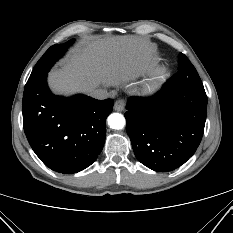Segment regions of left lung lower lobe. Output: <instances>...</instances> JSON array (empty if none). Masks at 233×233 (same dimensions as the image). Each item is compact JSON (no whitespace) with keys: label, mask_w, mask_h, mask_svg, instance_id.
<instances>
[{"label":"left lung lower lobe","mask_w":233,"mask_h":233,"mask_svg":"<svg viewBox=\"0 0 233 233\" xmlns=\"http://www.w3.org/2000/svg\"><path fill=\"white\" fill-rule=\"evenodd\" d=\"M206 112L205 92L168 82L152 97H130L125 113L126 131L136 158L158 172L178 168L199 146Z\"/></svg>","instance_id":"1"}]
</instances>
